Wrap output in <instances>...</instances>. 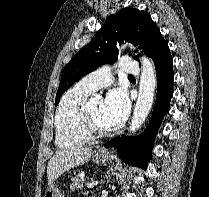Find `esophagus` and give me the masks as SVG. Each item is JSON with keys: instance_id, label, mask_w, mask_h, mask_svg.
Returning a JSON list of instances; mask_svg holds the SVG:
<instances>
[{"instance_id": "obj_1", "label": "esophagus", "mask_w": 209, "mask_h": 197, "mask_svg": "<svg viewBox=\"0 0 209 197\" xmlns=\"http://www.w3.org/2000/svg\"><path fill=\"white\" fill-rule=\"evenodd\" d=\"M102 153H106V151H102Z\"/></svg>"}]
</instances>
